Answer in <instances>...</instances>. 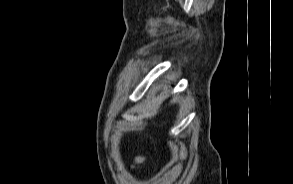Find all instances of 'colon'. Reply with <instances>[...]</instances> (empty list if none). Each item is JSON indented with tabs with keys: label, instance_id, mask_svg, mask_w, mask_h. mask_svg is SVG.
<instances>
[{
	"label": "colon",
	"instance_id": "5ec220e1",
	"mask_svg": "<svg viewBox=\"0 0 293 184\" xmlns=\"http://www.w3.org/2000/svg\"><path fill=\"white\" fill-rule=\"evenodd\" d=\"M146 160H147V156L146 155L137 156L134 159L132 168L135 170L140 164L144 163Z\"/></svg>",
	"mask_w": 293,
	"mask_h": 184
}]
</instances>
